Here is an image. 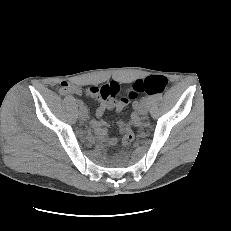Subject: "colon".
I'll list each match as a JSON object with an SVG mask.
<instances>
[{
  "label": "colon",
  "mask_w": 231,
  "mask_h": 231,
  "mask_svg": "<svg viewBox=\"0 0 231 231\" xmlns=\"http://www.w3.org/2000/svg\"><path fill=\"white\" fill-rule=\"evenodd\" d=\"M168 80L162 75H152L144 79L133 82L130 86L124 87L122 90L128 99H134L142 93L149 95L161 94L165 91ZM121 91V87L117 83H110L103 86V97L115 98ZM121 141L122 146H128L133 142L134 134L127 123L121 125Z\"/></svg>",
  "instance_id": "colon-1"
}]
</instances>
